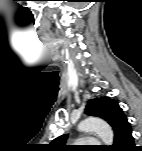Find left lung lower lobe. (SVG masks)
<instances>
[{"instance_id":"obj_1","label":"left lung lower lobe","mask_w":142,"mask_h":151,"mask_svg":"<svg viewBox=\"0 0 142 151\" xmlns=\"http://www.w3.org/2000/svg\"><path fill=\"white\" fill-rule=\"evenodd\" d=\"M111 151H136L131 127L124 131L110 147Z\"/></svg>"}]
</instances>
